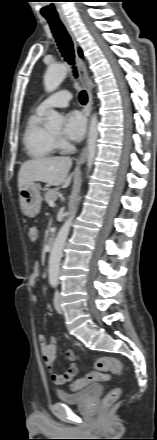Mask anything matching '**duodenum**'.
I'll use <instances>...</instances> for the list:
<instances>
[{"label": "duodenum", "instance_id": "duodenum-1", "mask_svg": "<svg viewBox=\"0 0 157 440\" xmlns=\"http://www.w3.org/2000/svg\"><path fill=\"white\" fill-rule=\"evenodd\" d=\"M54 243H55V239L54 238H49L48 243H47V248L49 251H52L53 247H54Z\"/></svg>", "mask_w": 157, "mask_h": 440}]
</instances>
